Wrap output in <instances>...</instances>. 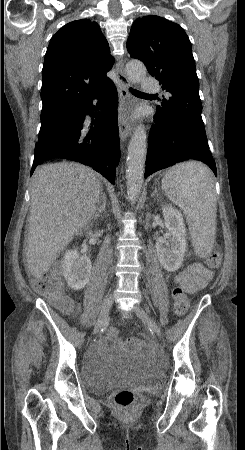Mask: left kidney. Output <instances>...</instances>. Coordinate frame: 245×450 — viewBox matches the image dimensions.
<instances>
[{"label": "left kidney", "instance_id": "5707ae66", "mask_svg": "<svg viewBox=\"0 0 245 450\" xmlns=\"http://www.w3.org/2000/svg\"><path fill=\"white\" fill-rule=\"evenodd\" d=\"M167 233L156 242L160 264L168 272L177 271L186 252V229L182 214L172 206H162Z\"/></svg>", "mask_w": 245, "mask_h": 450}]
</instances>
